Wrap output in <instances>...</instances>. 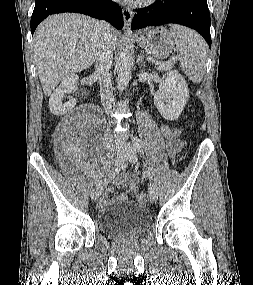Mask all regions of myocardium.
Returning <instances> with one entry per match:
<instances>
[{
    "label": "myocardium",
    "mask_w": 253,
    "mask_h": 285,
    "mask_svg": "<svg viewBox=\"0 0 253 285\" xmlns=\"http://www.w3.org/2000/svg\"><path fill=\"white\" fill-rule=\"evenodd\" d=\"M157 0H139V3L143 6H147V5H151L154 2H156Z\"/></svg>",
    "instance_id": "myocardium-1"
}]
</instances>
